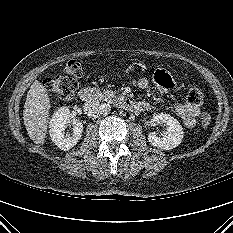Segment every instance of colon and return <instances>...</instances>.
I'll list each match as a JSON object with an SVG mask.
<instances>
[{
    "mask_svg": "<svg viewBox=\"0 0 233 233\" xmlns=\"http://www.w3.org/2000/svg\"><path fill=\"white\" fill-rule=\"evenodd\" d=\"M84 74L82 61L79 59L69 60L64 67V75L47 78L44 81V86L54 96L60 99H70L76 92L78 87V79ZM187 103L192 106H199L203 103V93L193 88L189 91L186 97ZM202 126H208L211 123V116L208 113H203L200 119Z\"/></svg>",
    "mask_w": 233,
    "mask_h": 233,
    "instance_id": "5ec220e1",
    "label": "colon"
}]
</instances>
